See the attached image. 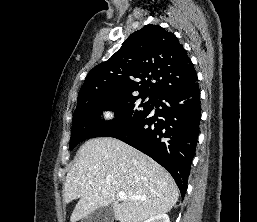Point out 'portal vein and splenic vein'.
<instances>
[{"mask_svg": "<svg viewBox=\"0 0 257 222\" xmlns=\"http://www.w3.org/2000/svg\"><path fill=\"white\" fill-rule=\"evenodd\" d=\"M117 195H118V198H119L120 200H125V199H127V198L138 200V199H141V198H142L141 196H131V197H128V196H127L124 192H122V191L118 192Z\"/></svg>", "mask_w": 257, "mask_h": 222, "instance_id": "obj_1", "label": "portal vein and splenic vein"}]
</instances>
